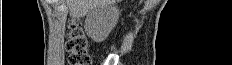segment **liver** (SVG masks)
Masks as SVG:
<instances>
[{
  "instance_id": "obj_1",
  "label": "liver",
  "mask_w": 232,
  "mask_h": 65,
  "mask_svg": "<svg viewBox=\"0 0 232 65\" xmlns=\"http://www.w3.org/2000/svg\"><path fill=\"white\" fill-rule=\"evenodd\" d=\"M120 0H66L70 15L74 18L84 17L101 6L113 5Z\"/></svg>"
}]
</instances>
